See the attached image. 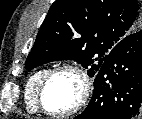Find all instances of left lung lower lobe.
Returning a JSON list of instances; mask_svg holds the SVG:
<instances>
[{
    "instance_id": "obj_1",
    "label": "left lung lower lobe",
    "mask_w": 142,
    "mask_h": 119,
    "mask_svg": "<svg viewBox=\"0 0 142 119\" xmlns=\"http://www.w3.org/2000/svg\"><path fill=\"white\" fill-rule=\"evenodd\" d=\"M142 115V30L125 36L95 75L87 108L75 119H136Z\"/></svg>"
}]
</instances>
